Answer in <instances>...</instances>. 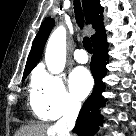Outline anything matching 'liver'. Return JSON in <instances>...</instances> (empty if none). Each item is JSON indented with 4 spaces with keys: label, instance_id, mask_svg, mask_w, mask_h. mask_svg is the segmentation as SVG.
<instances>
[{
    "label": "liver",
    "instance_id": "6515ba94",
    "mask_svg": "<svg viewBox=\"0 0 136 136\" xmlns=\"http://www.w3.org/2000/svg\"><path fill=\"white\" fill-rule=\"evenodd\" d=\"M15 136H58L54 126L44 124L27 125L15 134Z\"/></svg>",
    "mask_w": 136,
    "mask_h": 136
}]
</instances>
